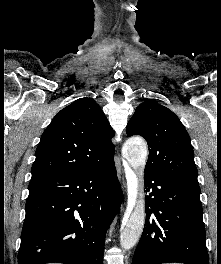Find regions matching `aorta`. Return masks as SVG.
Here are the masks:
<instances>
[{
  "mask_svg": "<svg viewBox=\"0 0 221 264\" xmlns=\"http://www.w3.org/2000/svg\"><path fill=\"white\" fill-rule=\"evenodd\" d=\"M123 157L134 171L128 183V191L134 199V207L129 218L122 226L120 244L124 250H130L139 241L145 224L144 183L142 173L147 160V144L140 138H131L123 146Z\"/></svg>",
  "mask_w": 221,
  "mask_h": 264,
  "instance_id": "1",
  "label": "aorta"
}]
</instances>
